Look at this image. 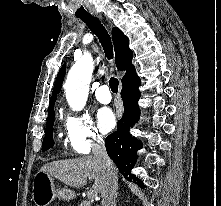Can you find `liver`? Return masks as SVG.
Instances as JSON below:
<instances>
[{"label": "liver", "instance_id": "liver-1", "mask_svg": "<svg viewBox=\"0 0 221 206\" xmlns=\"http://www.w3.org/2000/svg\"><path fill=\"white\" fill-rule=\"evenodd\" d=\"M114 171L117 177L115 166ZM40 172L55 177L73 187L83 186L87 183V179H94L93 190L101 196L107 182L106 171L98 159L91 156L53 161L45 164Z\"/></svg>", "mask_w": 221, "mask_h": 206}]
</instances>
